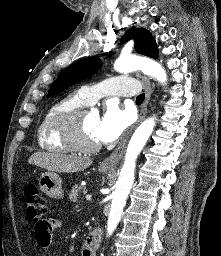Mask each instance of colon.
Here are the masks:
<instances>
[{"instance_id": "obj_1", "label": "colon", "mask_w": 221, "mask_h": 256, "mask_svg": "<svg viewBox=\"0 0 221 256\" xmlns=\"http://www.w3.org/2000/svg\"><path fill=\"white\" fill-rule=\"evenodd\" d=\"M24 199L28 220L34 225L35 228H44L47 223V219L45 218V214L47 212V203L36 185L31 183L25 187Z\"/></svg>"}]
</instances>
